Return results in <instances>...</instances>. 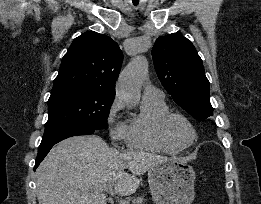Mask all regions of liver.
Segmentation results:
<instances>
[{
  "label": "liver",
  "instance_id": "1",
  "mask_svg": "<svg viewBox=\"0 0 261 204\" xmlns=\"http://www.w3.org/2000/svg\"><path fill=\"white\" fill-rule=\"evenodd\" d=\"M172 158L141 151L122 153L99 136H74L51 149L37 168L39 204H107L97 185L114 187L121 196L133 194L137 176ZM128 169L130 173L125 170Z\"/></svg>",
  "mask_w": 261,
  "mask_h": 204
}]
</instances>
